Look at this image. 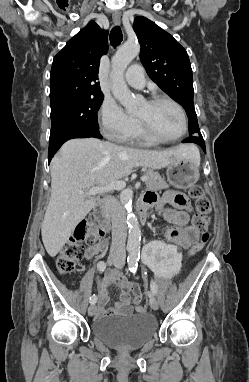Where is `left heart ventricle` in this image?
Masks as SVG:
<instances>
[{
  "label": "left heart ventricle",
  "mask_w": 249,
  "mask_h": 382,
  "mask_svg": "<svg viewBox=\"0 0 249 382\" xmlns=\"http://www.w3.org/2000/svg\"><path fill=\"white\" fill-rule=\"evenodd\" d=\"M136 117L146 122L159 136L174 138L182 131V119L178 110L167 102L150 105L145 102Z\"/></svg>",
  "instance_id": "b2bd125f"
}]
</instances>
